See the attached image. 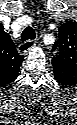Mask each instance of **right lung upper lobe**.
I'll return each instance as SVG.
<instances>
[{"label":"right lung upper lobe","instance_id":"obj_1","mask_svg":"<svg viewBox=\"0 0 77 125\" xmlns=\"http://www.w3.org/2000/svg\"><path fill=\"white\" fill-rule=\"evenodd\" d=\"M23 57L16 51L10 36L0 31V84L13 82L18 75Z\"/></svg>","mask_w":77,"mask_h":125}]
</instances>
